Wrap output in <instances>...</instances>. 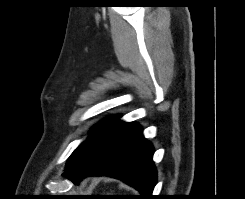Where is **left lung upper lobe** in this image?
Listing matches in <instances>:
<instances>
[{
    "label": "left lung upper lobe",
    "instance_id": "left-lung-upper-lobe-1",
    "mask_svg": "<svg viewBox=\"0 0 245 199\" xmlns=\"http://www.w3.org/2000/svg\"><path fill=\"white\" fill-rule=\"evenodd\" d=\"M116 117H110L105 119L103 122L97 124L94 128L93 131L91 133V135L87 138V140L85 142H83L69 157L67 163H66V169L69 168L74 161L79 157V155L82 153V151L84 150L85 146L87 145V143L100 131L102 130L109 122H111L113 119H115Z\"/></svg>",
    "mask_w": 245,
    "mask_h": 199
}]
</instances>
